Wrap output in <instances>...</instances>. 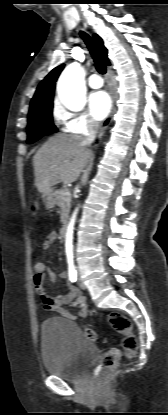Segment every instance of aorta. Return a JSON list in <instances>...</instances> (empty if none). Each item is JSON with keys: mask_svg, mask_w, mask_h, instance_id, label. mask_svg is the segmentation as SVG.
I'll list each match as a JSON object with an SVG mask.
<instances>
[{"mask_svg": "<svg viewBox=\"0 0 168 415\" xmlns=\"http://www.w3.org/2000/svg\"><path fill=\"white\" fill-rule=\"evenodd\" d=\"M58 97L62 104L73 111H80L86 104V88L84 86V69L78 63L70 64L59 77L57 84ZM77 209L67 226L65 250L68 263H73V233Z\"/></svg>", "mask_w": 168, "mask_h": 415, "instance_id": "obj_1", "label": "aorta"}]
</instances>
